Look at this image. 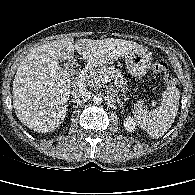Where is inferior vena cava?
<instances>
[{
	"label": "inferior vena cava",
	"mask_w": 195,
	"mask_h": 195,
	"mask_svg": "<svg viewBox=\"0 0 195 195\" xmlns=\"http://www.w3.org/2000/svg\"><path fill=\"white\" fill-rule=\"evenodd\" d=\"M91 97V92L84 87H75L72 92L73 101L76 103H85Z\"/></svg>",
	"instance_id": "602c4592"
}]
</instances>
